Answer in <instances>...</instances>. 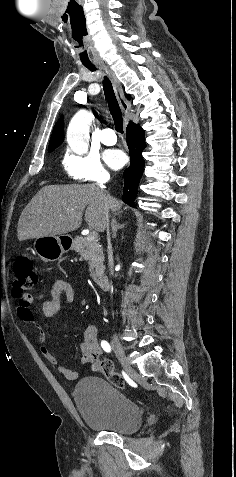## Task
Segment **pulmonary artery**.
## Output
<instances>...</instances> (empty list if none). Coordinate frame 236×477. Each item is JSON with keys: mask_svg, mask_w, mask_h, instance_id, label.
Listing matches in <instances>:
<instances>
[{"mask_svg": "<svg viewBox=\"0 0 236 477\" xmlns=\"http://www.w3.org/2000/svg\"><path fill=\"white\" fill-rule=\"evenodd\" d=\"M100 140L103 144L111 146L117 142V137L113 129L104 128L100 131Z\"/></svg>", "mask_w": 236, "mask_h": 477, "instance_id": "e3ab8cb5", "label": "pulmonary artery"}]
</instances>
